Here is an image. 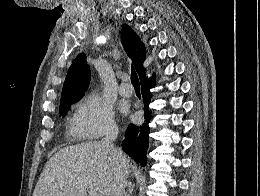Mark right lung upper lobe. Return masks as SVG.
I'll return each instance as SVG.
<instances>
[{"label": "right lung upper lobe", "instance_id": "1", "mask_svg": "<svg viewBox=\"0 0 260 196\" xmlns=\"http://www.w3.org/2000/svg\"><path fill=\"white\" fill-rule=\"evenodd\" d=\"M124 50L140 76L141 81L146 79L143 62L146 58V48L137 34L127 25H122L121 32ZM90 69L84 53L79 54L70 66L63 85L60 109L80 99L88 89Z\"/></svg>", "mask_w": 260, "mask_h": 196}]
</instances>
